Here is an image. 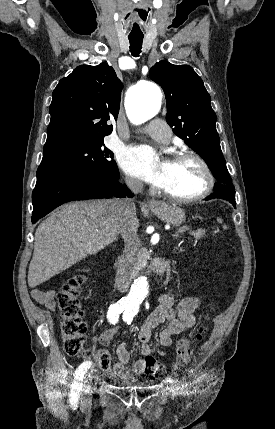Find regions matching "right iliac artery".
I'll use <instances>...</instances> for the list:
<instances>
[{
  "label": "right iliac artery",
  "mask_w": 275,
  "mask_h": 429,
  "mask_svg": "<svg viewBox=\"0 0 275 429\" xmlns=\"http://www.w3.org/2000/svg\"><path fill=\"white\" fill-rule=\"evenodd\" d=\"M125 310V304L122 302H117L115 304H112L109 306L108 312H107V318L108 321L112 324H116L118 322L119 315ZM91 362L86 361L83 362L78 369L75 372V378L74 382L72 384V390H71V403L72 405H75L79 399V391L81 386V381L84 378L85 373L90 368Z\"/></svg>",
  "instance_id": "82829eb1"
}]
</instances>
